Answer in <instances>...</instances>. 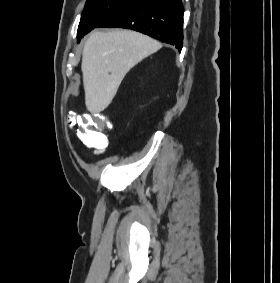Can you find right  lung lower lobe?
Listing matches in <instances>:
<instances>
[{
	"label": "right lung lower lobe",
	"mask_w": 280,
	"mask_h": 283,
	"mask_svg": "<svg viewBox=\"0 0 280 283\" xmlns=\"http://www.w3.org/2000/svg\"><path fill=\"white\" fill-rule=\"evenodd\" d=\"M183 12L181 0H135L107 17L96 28L132 29L171 44L181 51Z\"/></svg>",
	"instance_id": "98d812e1"
}]
</instances>
